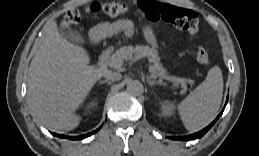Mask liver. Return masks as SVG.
<instances>
[{"instance_id": "liver-1", "label": "liver", "mask_w": 259, "mask_h": 156, "mask_svg": "<svg viewBox=\"0 0 259 156\" xmlns=\"http://www.w3.org/2000/svg\"><path fill=\"white\" fill-rule=\"evenodd\" d=\"M89 62L86 50L67 41L56 22L47 26L29 66L27 97L34 116L49 130L62 132L79 125L76 110L107 71Z\"/></svg>"}]
</instances>
